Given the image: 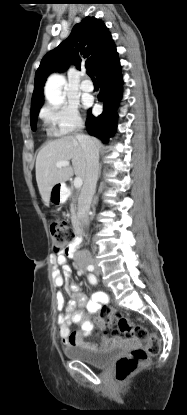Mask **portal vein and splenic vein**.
<instances>
[{
  "label": "portal vein and splenic vein",
  "mask_w": 187,
  "mask_h": 415,
  "mask_svg": "<svg viewBox=\"0 0 187 415\" xmlns=\"http://www.w3.org/2000/svg\"><path fill=\"white\" fill-rule=\"evenodd\" d=\"M70 162L69 161H61V162H57L56 163V167L61 168L64 166H69ZM83 184V180L80 177H75L74 179V187L75 188H80Z\"/></svg>",
  "instance_id": "obj_1"
}]
</instances>
